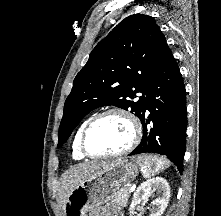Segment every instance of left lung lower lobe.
Here are the masks:
<instances>
[{
	"mask_svg": "<svg viewBox=\"0 0 221 216\" xmlns=\"http://www.w3.org/2000/svg\"><path fill=\"white\" fill-rule=\"evenodd\" d=\"M140 120L143 137L129 156L158 153L182 172L187 129L186 91L168 46L150 76Z\"/></svg>",
	"mask_w": 221,
	"mask_h": 216,
	"instance_id": "left-lung-lower-lobe-1",
	"label": "left lung lower lobe"
}]
</instances>
